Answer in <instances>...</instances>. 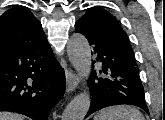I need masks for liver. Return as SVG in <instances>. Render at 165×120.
Wrapping results in <instances>:
<instances>
[{"label": "liver", "mask_w": 165, "mask_h": 120, "mask_svg": "<svg viewBox=\"0 0 165 120\" xmlns=\"http://www.w3.org/2000/svg\"><path fill=\"white\" fill-rule=\"evenodd\" d=\"M0 120H24V117L14 113L0 112Z\"/></svg>", "instance_id": "obj_1"}]
</instances>
